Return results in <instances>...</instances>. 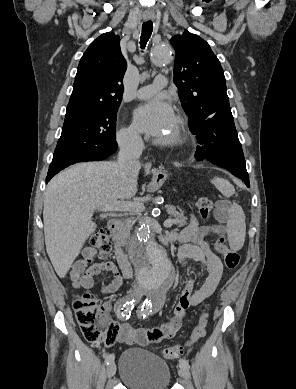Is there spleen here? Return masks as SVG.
Instances as JSON below:
<instances>
[{
	"label": "spleen",
	"mask_w": 296,
	"mask_h": 389,
	"mask_svg": "<svg viewBox=\"0 0 296 389\" xmlns=\"http://www.w3.org/2000/svg\"><path fill=\"white\" fill-rule=\"evenodd\" d=\"M211 183L225 197H230L235 193L234 186L226 179L216 177L211 180ZM228 213L227 237L229 245L233 251H238L243 247L246 236L245 214L242 208L236 203L231 205Z\"/></svg>",
	"instance_id": "3e777b00"
}]
</instances>
